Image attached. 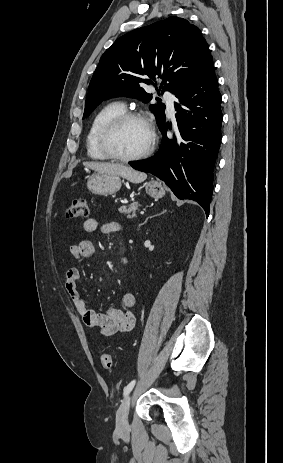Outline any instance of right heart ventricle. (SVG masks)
I'll list each match as a JSON object with an SVG mask.
<instances>
[{"label": "right heart ventricle", "mask_w": 283, "mask_h": 463, "mask_svg": "<svg viewBox=\"0 0 283 463\" xmlns=\"http://www.w3.org/2000/svg\"><path fill=\"white\" fill-rule=\"evenodd\" d=\"M124 111L125 106L123 103L111 102L103 106L95 114L86 137V149L90 158L94 160H106L108 158L100 148L99 137L101 130L108 121Z\"/></svg>", "instance_id": "right-heart-ventricle-1"}]
</instances>
